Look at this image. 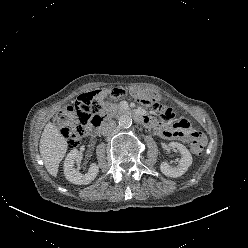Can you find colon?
<instances>
[{"label": "colon", "mask_w": 248, "mask_h": 248, "mask_svg": "<svg viewBox=\"0 0 248 248\" xmlns=\"http://www.w3.org/2000/svg\"><path fill=\"white\" fill-rule=\"evenodd\" d=\"M126 92L123 88H115L110 91V97H118ZM138 100L158 112L161 119L166 123H171L175 119L174 109L166 105L159 95L151 91L136 92ZM103 109L102 100L94 94L87 93L81 95L73 106L62 108L55 117V125L59 127L66 137L69 147H77L85 133L88 125L99 116ZM205 145L203 137L192 139L189 149L195 154L202 153Z\"/></svg>", "instance_id": "5ec220e1"}]
</instances>
